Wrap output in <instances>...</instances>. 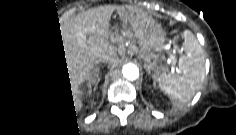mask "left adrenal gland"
Wrapping results in <instances>:
<instances>
[{"label":"left adrenal gland","instance_id":"left-adrenal-gland-1","mask_svg":"<svg viewBox=\"0 0 236 135\" xmlns=\"http://www.w3.org/2000/svg\"><path fill=\"white\" fill-rule=\"evenodd\" d=\"M147 74H148L149 76H151V72H150L149 69H147ZM153 85H154V87H155V83H153Z\"/></svg>","mask_w":236,"mask_h":135}]
</instances>
